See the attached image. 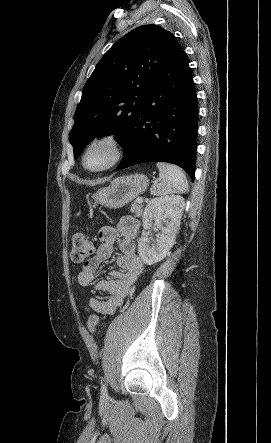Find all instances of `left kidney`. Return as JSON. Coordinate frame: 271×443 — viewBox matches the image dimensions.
Returning a JSON list of instances; mask_svg holds the SVG:
<instances>
[{
	"mask_svg": "<svg viewBox=\"0 0 271 443\" xmlns=\"http://www.w3.org/2000/svg\"><path fill=\"white\" fill-rule=\"evenodd\" d=\"M185 202L181 196H163L154 198L145 208L142 216L144 229H149L155 222L160 233H156L157 243L151 241V237L143 235L138 239V253L147 265H153L164 259L175 243V235L180 227ZM165 223L166 227H163Z\"/></svg>",
	"mask_w": 271,
	"mask_h": 443,
	"instance_id": "obj_1",
	"label": "left kidney"
}]
</instances>
